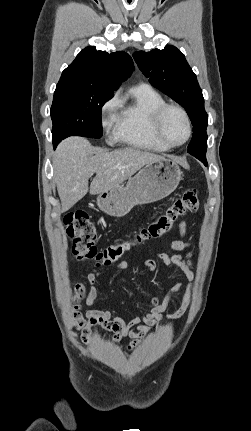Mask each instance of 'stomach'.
Listing matches in <instances>:
<instances>
[{"label":"stomach","instance_id":"1","mask_svg":"<svg viewBox=\"0 0 251 431\" xmlns=\"http://www.w3.org/2000/svg\"><path fill=\"white\" fill-rule=\"evenodd\" d=\"M183 173L170 158L145 165L126 186H117L99 193L98 207L114 217L125 216L135 205L149 204L170 195L182 180Z\"/></svg>","mask_w":251,"mask_h":431}]
</instances>
